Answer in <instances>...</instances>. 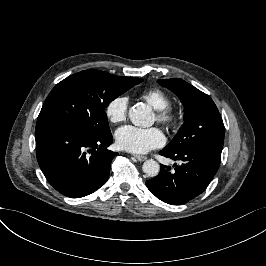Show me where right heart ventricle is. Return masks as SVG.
I'll list each match as a JSON object with an SVG mask.
<instances>
[{"label":"right heart ventricle","instance_id":"obj_1","mask_svg":"<svg viewBox=\"0 0 266 266\" xmlns=\"http://www.w3.org/2000/svg\"><path fill=\"white\" fill-rule=\"evenodd\" d=\"M140 97L147 101L154 109H162L170 105V97L159 88H149L144 90Z\"/></svg>","mask_w":266,"mask_h":266}]
</instances>
